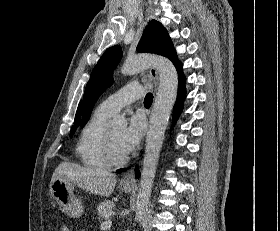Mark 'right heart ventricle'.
<instances>
[{
    "label": "right heart ventricle",
    "mask_w": 280,
    "mask_h": 231,
    "mask_svg": "<svg viewBox=\"0 0 280 231\" xmlns=\"http://www.w3.org/2000/svg\"><path fill=\"white\" fill-rule=\"evenodd\" d=\"M111 115L96 110L83 126L75 145V153L84 167L106 169L109 166L104 155L103 137L107 119Z\"/></svg>",
    "instance_id": "right-heart-ventricle-1"
}]
</instances>
